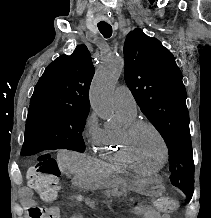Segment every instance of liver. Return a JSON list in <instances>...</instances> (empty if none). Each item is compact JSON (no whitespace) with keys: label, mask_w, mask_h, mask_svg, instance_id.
<instances>
[{"label":"liver","mask_w":211,"mask_h":218,"mask_svg":"<svg viewBox=\"0 0 211 218\" xmlns=\"http://www.w3.org/2000/svg\"><path fill=\"white\" fill-rule=\"evenodd\" d=\"M92 164V158L86 154H76V152H66V150L58 154L59 168L69 170L70 174H75L76 178L87 176Z\"/></svg>","instance_id":"obj_1"}]
</instances>
